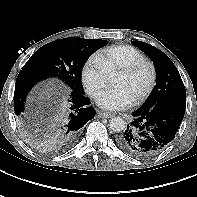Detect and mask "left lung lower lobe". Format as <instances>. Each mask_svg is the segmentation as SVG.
Returning a JSON list of instances; mask_svg holds the SVG:
<instances>
[{
  "mask_svg": "<svg viewBox=\"0 0 197 197\" xmlns=\"http://www.w3.org/2000/svg\"><path fill=\"white\" fill-rule=\"evenodd\" d=\"M186 95H174L151 108L132 112L133 120L117 143L132 157L145 159L159 154L175 138L183 120Z\"/></svg>",
  "mask_w": 197,
  "mask_h": 197,
  "instance_id": "1",
  "label": "left lung lower lobe"
}]
</instances>
